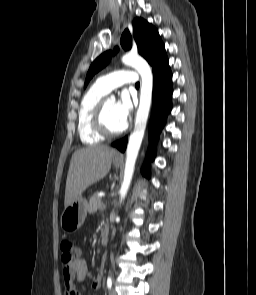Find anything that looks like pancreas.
<instances>
[{"mask_svg": "<svg viewBox=\"0 0 256 295\" xmlns=\"http://www.w3.org/2000/svg\"><path fill=\"white\" fill-rule=\"evenodd\" d=\"M104 208V203L101 201V198L97 196V194H93L90 197L89 204H88V212L90 214L95 213L99 209Z\"/></svg>", "mask_w": 256, "mask_h": 295, "instance_id": "pancreas-1", "label": "pancreas"}]
</instances>
